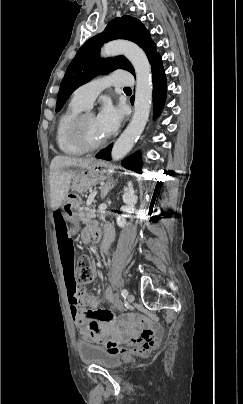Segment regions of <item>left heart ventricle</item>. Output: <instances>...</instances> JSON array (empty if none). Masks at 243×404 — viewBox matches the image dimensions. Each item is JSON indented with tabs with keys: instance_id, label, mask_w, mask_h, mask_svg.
<instances>
[{
	"instance_id": "left-heart-ventricle-1",
	"label": "left heart ventricle",
	"mask_w": 243,
	"mask_h": 404,
	"mask_svg": "<svg viewBox=\"0 0 243 404\" xmlns=\"http://www.w3.org/2000/svg\"><path fill=\"white\" fill-rule=\"evenodd\" d=\"M81 134L90 143L103 140L98 133L95 116H89L84 120L81 126Z\"/></svg>"
}]
</instances>
